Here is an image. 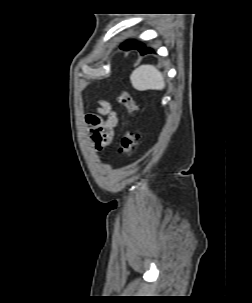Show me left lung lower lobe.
Returning <instances> with one entry per match:
<instances>
[{
	"label": "left lung lower lobe",
	"mask_w": 252,
	"mask_h": 303,
	"mask_svg": "<svg viewBox=\"0 0 252 303\" xmlns=\"http://www.w3.org/2000/svg\"><path fill=\"white\" fill-rule=\"evenodd\" d=\"M120 48L124 50L136 49L141 53V55L154 52L152 49L145 47L143 43L134 41H126L121 44Z\"/></svg>",
	"instance_id": "0a47b994"
}]
</instances>
